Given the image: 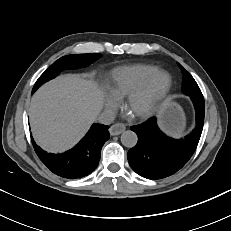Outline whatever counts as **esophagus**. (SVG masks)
<instances>
[{"label": "esophagus", "instance_id": "1", "mask_svg": "<svg viewBox=\"0 0 231 231\" xmlns=\"http://www.w3.org/2000/svg\"><path fill=\"white\" fill-rule=\"evenodd\" d=\"M126 129V126L122 123H116L109 128L111 136L119 135Z\"/></svg>", "mask_w": 231, "mask_h": 231}]
</instances>
